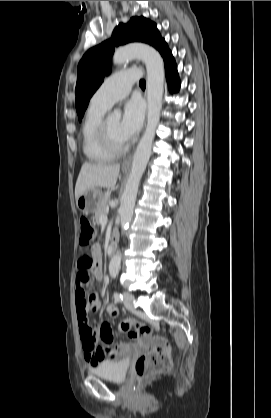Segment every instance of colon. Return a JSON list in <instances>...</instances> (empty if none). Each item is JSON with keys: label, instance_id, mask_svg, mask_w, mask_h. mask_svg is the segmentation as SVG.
I'll return each instance as SVG.
<instances>
[{"label": "colon", "instance_id": "1", "mask_svg": "<svg viewBox=\"0 0 271 418\" xmlns=\"http://www.w3.org/2000/svg\"><path fill=\"white\" fill-rule=\"evenodd\" d=\"M80 228V244L82 247V256L86 254V247L93 245L95 239V229L87 218L82 217L79 221ZM92 258V257H91ZM134 326V331L130 328ZM123 331L130 330V338L148 337L151 330L148 326L136 322L133 318L126 319L121 324ZM89 332V331H88ZM172 360L170 356V349L163 338L155 337L152 340V350L144 355H141L134 364V372L138 378H143L149 374L161 372L171 367Z\"/></svg>", "mask_w": 271, "mask_h": 418}]
</instances>
